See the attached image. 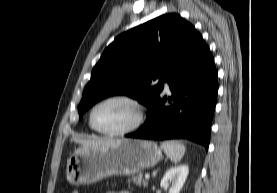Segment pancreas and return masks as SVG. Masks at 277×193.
<instances>
[{"label": "pancreas", "mask_w": 277, "mask_h": 193, "mask_svg": "<svg viewBox=\"0 0 277 193\" xmlns=\"http://www.w3.org/2000/svg\"><path fill=\"white\" fill-rule=\"evenodd\" d=\"M129 181H130V180H129ZM132 181H133L135 184L139 185V186L143 185V187H147V185H148V181H147L146 179L143 178V175H142V174L133 176V177H132Z\"/></svg>", "instance_id": "cf45deb5"}]
</instances>
